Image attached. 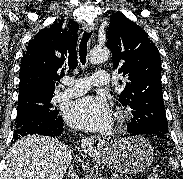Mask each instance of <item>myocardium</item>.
Wrapping results in <instances>:
<instances>
[{
  "label": "myocardium",
  "instance_id": "myocardium-1",
  "mask_svg": "<svg viewBox=\"0 0 183 179\" xmlns=\"http://www.w3.org/2000/svg\"><path fill=\"white\" fill-rule=\"evenodd\" d=\"M125 119H126V115H125V113L123 111L118 110V111L115 112V114H114V122L116 124L123 123L125 121Z\"/></svg>",
  "mask_w": 183,
  "mask_h": 179
}]
</instances>
